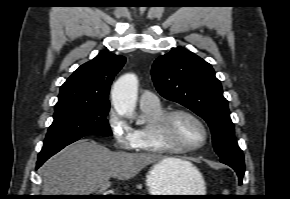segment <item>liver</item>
<instances>
[{"label": "liver", "instance_id": "1", "mask_svg": "<svg viewBox=\"0 0 290 199\" xmlns=\"http://www.w3.org/2000/svg\"><path fill=\"white\" fill-rule=\"evenodd\" d=\"M163 162L172 170L191 169L193 165L178 158H163L150 153L109 150L89 139L65 147L41 168L43 195H90L110 178L128 180L144 167Z\"/></svg>", "mask_w": 290, "mask_h": 199}]
</instances>
